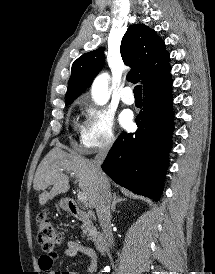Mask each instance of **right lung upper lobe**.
I'll return each mask as SVG.
<instances>
[{
  "label": "right lung upper lobe",
  "mask_w": 215,
  "mask_h": 274,
  "mask_svg": "<svg viewBox=\"0 0 215 274\" xmlns=\"http://www.w3.org/2000/svg\"><path fill=\"white\" fill-rule=\"evenodd\" d=\"M124 63L132 69L129 81H141L143 93L159 89L172 83L169 76L170 55L154 30L144 24L131 25L125 33L120 47ZM104 48L85 53L74 61L68 82L66 104H71L90 87L94 77L104 65Z\"/></svg>",
  "instance_id": "1"
}]
</instances>
